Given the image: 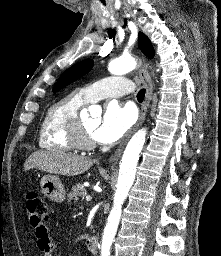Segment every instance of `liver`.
I'll use <instances>...</instances> for the list:
<instances>
[{
  "label": "liver",
  "mask_w": 221,
  "mask_h": 256,
  "mask_svg": "<svg viewBox=\"0 0 221 256\" xmlns=\"http://www.w3.org/2000/svg\"><path fill=\"white\" fill-rule=\"evenodd\" d=\"M94 161L60 151H35L24 163V171L36 168L47 173L75 176L84 173Z\"/></svg>",
  "instance_id": "liver-1"
}]
</instances>
